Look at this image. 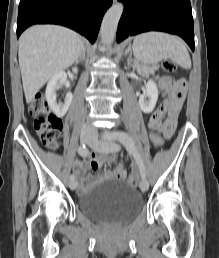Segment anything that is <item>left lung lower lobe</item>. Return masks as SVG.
Segmentation results:
<instances>
[{
    "mask_svg": "<svg viewBox=\"0 0 219 258\" xmlns=\"http://www.w3.org/2000/svg\"><path fill=\"white\" fill-rule=\"evenodd\" d=\"M124 11L118 24L117 42L147 31L181 36L194 51L190 0H119Z\"/></svg>",
    "mask_w": 219,
    "mask_h": 258,
    "instance_id": "left-lung-lower-lobe-1",
    "label": "left lung lower lobe"
}]
</instances>
